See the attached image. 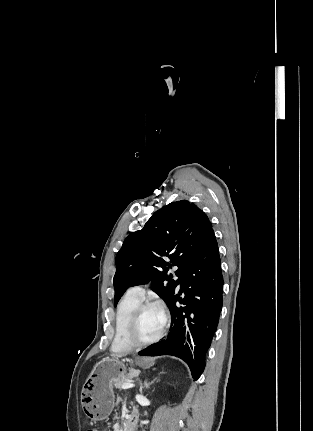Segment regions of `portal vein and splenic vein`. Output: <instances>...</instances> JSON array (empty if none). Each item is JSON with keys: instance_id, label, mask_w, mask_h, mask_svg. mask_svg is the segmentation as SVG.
<instances>
[{"instance_id": "18ae733b", "label": "portal vein and splenic vein", "mask_w": 313, "mask_h": 431, "mask_svg": "<svg viewBox=\"0 0 313 431\" xmlns=\"http://www.w3.org/2000/svg\"><path fill=\"white\" fill-rule=\"evenodd\" d=\"M135 385L133 384V383H131V382H128V383H124L123 385H122V388L123 389H129V388H133Z\"/></svg>"}]
</instances>
